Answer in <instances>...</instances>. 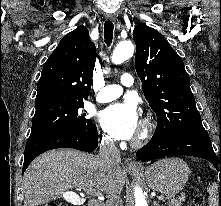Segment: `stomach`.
Wrapping results in <instances>:
<instances>
[{"instance_id":"stomach-1","label":"stomach","mask_w":221,"mask_h":206,"mask_svg":"<svg viewBox=\"0 0 221 206\" xmlns=\"http://www.w3.org/2000/svg\"><path fill=\"white\" fill-rule=\"evenodd\" d=\"M189 173V167L182 159L166 158L149 166L144 175L153 190L171 196L183 189Z\"/></svg>"}]
</instances>
